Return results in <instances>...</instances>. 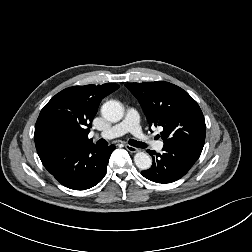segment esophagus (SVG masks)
<instances>
[{
	"instance_id": "34e87169",
	"label": "esophagus",
	"mask_w": 252,
	"mask_h": 252,
	"mask_svg": "<svg viewBox=\"0 0 252 252\" xmlns=\"http://www.w3.org/2000/svg\"><path fill=\"white\" fill-rule=\"evenodd\" d=\"M125 148H126L129 152H131V153H136V152L139 151L138 148H136V147H134V146H131V145H129V144H126V145H125Z\"/></svg>"
}]
</instances>
